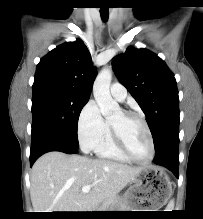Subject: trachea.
<instances>
[{"mask_svg": "<svg viewBox=\"0 0 203 219\" xmlns=\"http://www.w3.org/2000/svg\"><path fill=\"white\" fill-rule=\"evenodd\" d=\"M100 14H101V18H102L103 21L108 20V17H109V12L108 11H105V12L101 11Z\"/></svg>", "mask_w": 203, "mask_h": 219, "instance_id": "1", "label": "trachea"}]
</instances>
